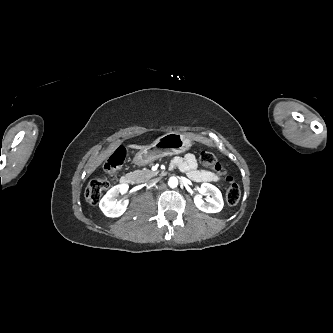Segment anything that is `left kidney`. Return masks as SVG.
Wrapping results in <instances>:
<instances>
[{
	"mask_svg": "<svg viewBox=\"0 0 333 333\" xmlns=\"http://www.w3.org/2000/svg\"><path fill=\"white\" fill-rule=\"evenodd\" d=\"M200 191L206 198L204 201L201 196L194 197V203L199 210L206 213H217L222 210L224 202L217 187L209 183H203Z\"/></svg>",
	"mask_w": 333,
	"mask_h": 333,
	"instance_id": "left-kidney-1",
	"label": "left kidney"
}]
</instances>
